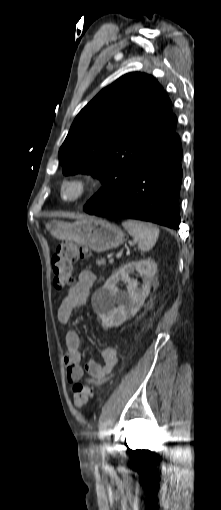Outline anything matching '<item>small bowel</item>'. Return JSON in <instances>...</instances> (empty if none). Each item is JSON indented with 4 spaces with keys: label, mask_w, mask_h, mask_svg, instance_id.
<instances>
[{
    "label": "small bowel",
    "mask_w": 221,
    "mask_h": 510,
    "mask_svg": "<svg viewBox=\"0 0 221 510\" xmlns=\"http://www.w3.org/2000/svg\"><path fill=\"white\" fill-rule=\"evenodd\" d=\"M95 279V274L91 270L85 269L79 273L78 280L68 289L58 308L57 317L60 323L67 324L73 313L85 303ZM65 343L67 378L70 382L78 381L84 374V369L81 366V337L79 333L75 330L68 331ZM101 357L102 364L94 359H89L85 365L88 380L95 384L102 383L110 377L118 360L117 352L112 347L104 348Z\"/></svg>",
    "instance_id": "c3829d8e"
}]
</instances>
